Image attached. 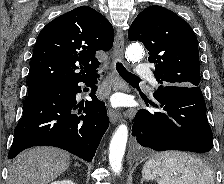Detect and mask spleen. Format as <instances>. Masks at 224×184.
Segmentation results:
<instances>
[{
    "label": "spleen",
    "instance_id": "spleen-1",
    "mask_svg": "<svg viewBox=\"0 0 224 184\" xmlns=\"http://www.w3.org/2000/svg\"><path fill=\"white\" fill-rule=\"evenodd\" d=\"M142 176L158 184H214L211 168L199 157L185 152H162L143 166Z\"/></svg>",
    "mask_w": 224,
    "mask_h": 184
}]
</instances>
